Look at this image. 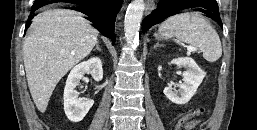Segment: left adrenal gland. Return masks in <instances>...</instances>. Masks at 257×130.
<instances>
[{"instance_id": "1", "label": "left adrenal gland", "mask_w": 257, "mask_h": 130, "mask_svg": "<svg viewBox=\"0 0 257 130\" xmlns=\"http://www.w3.org/2000/svg\"><path fill=\"white\" fill-rule=\"evenodd\" d=\"M163 45H160L159 43H156V45L154 46V49L157 48V47H161Z\"/></svg>"}]
</instances>
